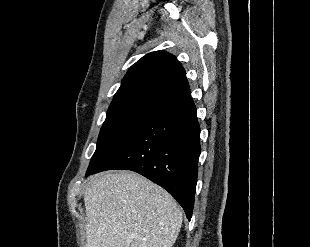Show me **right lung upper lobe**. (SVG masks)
I'll list each match as a JSON object with an SVG mask.
<instances>
[{"label": "right lung upper lobe", "instance_id": "cb5924a9", "mask_svg": "<svg viewBox=\"0 0 310 247\" xmlns=\"http://www.w3.org/2000/svg\"><path fill=\"white\" fill-rule=\"evenodd\" d=\"M188 97L190 89L180 62L165 51H155L128 70L108 112L138 106L160 112Z\"/></svg>", "mask_w": 310, "mask_h": 247}]
</instances>
